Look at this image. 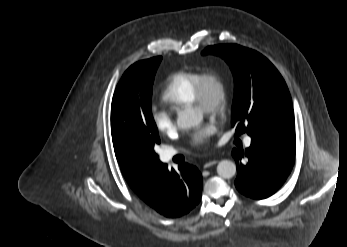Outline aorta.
<instances>
[{"label":"aorta","instance_id":"obj_1","mask_svg":"<svg viewBox=\"0 0 347 247\" xmlns=\"http://www.w3.org/2000/svg\"><path fill=\"white\" fill-rule=\"evenodd\" d=\"M203 116L200 111L187 108L179 112L177 117V126L180 129H189L202 122ZM217 173L221 178L230 179L236 173V165L230 160H222L217 165Z\"/></svg>","mask_w":347,"mask_h":247}]
</instances>
